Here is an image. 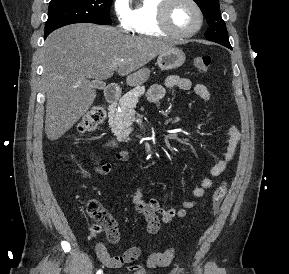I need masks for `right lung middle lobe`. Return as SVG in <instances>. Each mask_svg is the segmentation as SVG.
Returning <instances> with one entry per match:
<instances>
[{
  "label": "right lung middle lobe",
  "mask_w": 289,
  "mask_h": 274,
  "mask_svg": "<svg viewBox=\"0 0 289 274\" xmlns=\"http://www.w3.org/2000/svg\"><path fill=\"white\" fill-rule=\"evenodd\" d=\"M113 0H51L45 37L62 26L73 23H112L109 10Z\"/></svg>",
  "instance_id": "dd1d6c3e"
}]
</instances>
